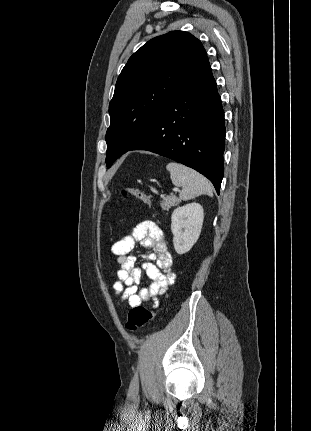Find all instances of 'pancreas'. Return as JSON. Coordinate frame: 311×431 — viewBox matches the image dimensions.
Masks as SVG:
<instances>
[{
	"mask_svg": "<svg viewBox=\"0 0 311 431\" xmlns=\"http://www.w3.org/2000/svg\"><path fill=\"white\" fill-rule=\"evenodd\" d=\"M161 202L162 204H160V206L162 210H167V212L172 206H179V204H181L180 198H176V196H166Z\"/></svg>",
	"mask_w": 311,
	"mask_h": 431,
	"instance_id": "cf45deb5",
	"label": "pancreas"
}]
</instances>
